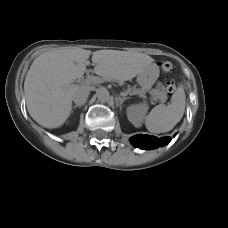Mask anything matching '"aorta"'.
<instances>
[{
  "label": "aorta",
  "mask_w": 228,
  "mask_h": 228,
  "mask_svg": "<svg viewBox=\"0 0 228 228\" xmlns=\"http://www.w3.org/2000/svg\"><path fill=\"white\" fill-rule=\"evenodd\" d=\"M96 97L101 103H107L110 101V93L105 87H100L96 90Z\"/></svg>",
  "instance_id": "aorta-1"
}]
</instances>
